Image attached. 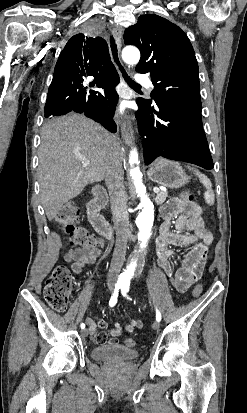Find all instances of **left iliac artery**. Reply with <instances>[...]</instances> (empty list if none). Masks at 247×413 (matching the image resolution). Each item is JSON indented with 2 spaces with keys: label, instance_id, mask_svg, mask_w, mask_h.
I'll return each instance as SVG.
<instances>
[{
  "label": "left iliac artery",
  "instance_id": "obj_1",
  "mask_svg": "<svg viewBox=\"0 0 247 413\" xmlns=\"http://www.w3.org/2000/svg\"><path fill=\"white\" fill-rule=\"evenodd\" d=\"M129 291V284H124V285H122L121 286V293H122V295L123 296H125V297H127L128 299H130L128 296H127V292ZM131 300V299H130ZM156 320L158 321V322H160L161 321V313H160V311L156 308Z\"/></svg>",
  "mask_w": 247,
  "mask_h": 413
}]
</instances>
